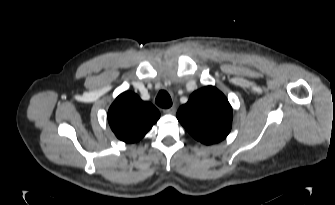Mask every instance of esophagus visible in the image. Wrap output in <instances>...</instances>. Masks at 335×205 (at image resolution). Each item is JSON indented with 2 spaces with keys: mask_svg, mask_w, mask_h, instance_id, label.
Listing matches in <instances>:
<instances>
[{
  "mask_svg": "<svg viewBox=\"0 0 335 205\" xmlns=\"http://www.w3.org/2000/svg\"><path fill=\"white\" fill-rule=\"evenodd\" d=\"M175 112H176V107L175 106H172L171 108L163 110V113H165V114H174Z\"/></svg>",
  "mask_w": 335,
  "mask_h": 205,
  "instance_id": "34e87169",
  "label": "esophagus"
}]
</instances>
